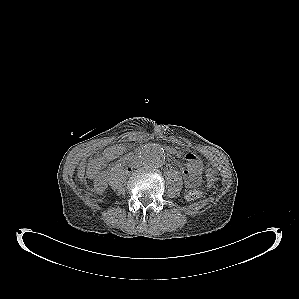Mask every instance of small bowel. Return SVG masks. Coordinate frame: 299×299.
<instances>
[{
  "mask_svg": "<svg viewBox=\"0 0 299 299\" xmlns=\"http://www.w3.org/2000/svg\"><path fill=\"white\" fill-rule=\"evenodd\" d=\"M122 152H123V147L114 145L106 148L103 153V156L107 160H112L118 157ZM182 173H183L184 181L187 186L195 187L199 185L200 178L194 176L186 167L182 169Z\"/></svg>",
  "mask_w": 299,
  "mask_h": 299,
  "instance_id": "1",
  "label": "small bowel"
}]
</instances>
